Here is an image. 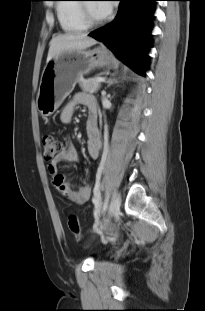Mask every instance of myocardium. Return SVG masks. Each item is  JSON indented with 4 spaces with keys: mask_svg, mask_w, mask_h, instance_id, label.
<instances>
[{
    "mask_svg": "<svg viewBox=\"0 0 205 311\" xmlns=\"http://www.w3.org/2000/svg\"><path fill=\"white\" fill-rule=\"evenodd\" d=\"M79 7L81 19L87 28H96L105 23L106 17H103L99 20H94L92 18L89 3H82L79 5Z\"/></svg>",
    "mask_w": 205,
    "mask_h": 311,
    "instance_id": "myocardium-1",
    "label": "myocardium"
}]
</instances>
